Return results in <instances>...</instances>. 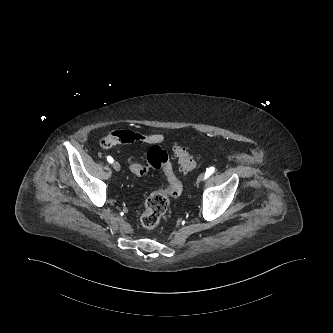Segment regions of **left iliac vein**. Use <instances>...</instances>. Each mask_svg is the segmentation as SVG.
Returning a JSON list of instances; mask_svg holds the SVG:
<instances>
[{"label":"left iliac vein","instance_id":"obj_1","mask_svg":"<svg viewBox=\"0 0 333 333\" xmlns=\"http://www.w3.org/2000/svg\"><path fill=\"white\" fill-rule=\"evenodd\" d=\"M205 179V174L201 173L199 174V176L197 177V183L202 182Z\"/></svg>","mask_w":333,"mask_h":333}]
</instances>
